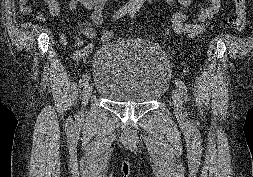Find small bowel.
Returning a JSON list of instances; mask_svg holds the SVG:
<instances>
[{"label":"small bowel","mask_w":253,"mask_h":177,"mask_svg":"<svg viewBox=\"0 0 253 177\" xmlns=\"http://www.w3.org/2000/svg\"><path fill=\"white\" fill-rule=\"evenodd\" d=\"M48 8L49 14L53 18L60 15V5L57 0H42ZM168 4L176 6L179 9L171 16L172 28L175 33L185 34L190 38H194L205 29L208 21L212 20L219 12L222 0H209L206 7L201 9L198 14L191 20L187 21V11L192 0H165ZM20 13L26 16L31 13L32 6L30 0H19ZM108 0H70L69 7L73 12H77L79 7H83L90 14V23L81 25L82 34L91 42L98 37V31L104 24V8ZM39 20H45V16L38 15ZM75 45L77 50L72 54L73 58L78 59L86 56L92 49L93 44H85L82 37H75Z\"/></svg>","instance_id":"obj_1"}]
</instances>
